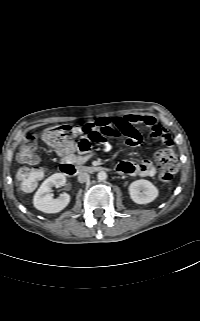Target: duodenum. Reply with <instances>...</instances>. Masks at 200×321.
<instances>
[{
    "instance_id": "duodenum-1",
    "label": "duodenum",
    "mask_w": 200,
    "mask_h": 321,
    "mask_svg": "<svg viewBox=\"0 0 200 321\" xmlns=\"http://www.w3.org/2000/svg\"><path fill=\"white\" fill-rule=\"evenodd\" d=\"M103 170H105V168L98 165L65 163L61 166V172L67 176H74L79 173H97Z\"/></svg>"
}]
</instances>
